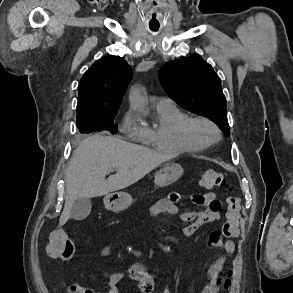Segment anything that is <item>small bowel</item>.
I'll list each match as a JSON object with an SVG mask.
<instances>
[{
  "mask_svg": "<svg viewBox=\"0 0 293 293\" xmlns=\"http://www.w3.org/2000/svg\"><path fill=\"white\" fill-rule=\"evenodd\" d=\"M182 196L178 192H172L167 198L158 200L150 207V216L158 221L164 222L165 216H176L188 225L183 229L186 238L192 237L201 226L220 218V202L214 192L196 193L192 195V201L198 206H204L201 211H181L178 203ZM210 246L219 247L226 253L232 254L235 251V242L228 238L223 239L222 233L218 230L210 232L208 237ZM110 246L104 245L98 250V256L104 258L110 254ZM225 256H220L208 269L209 281L204 286L202 293H216L217 279L225 263ZM136 282L141 293L155 292V274L145 265L139 262L131 264L127 272H116L109 278L104 290L84 289L77 284H70L68 293H121V284L125 278ZM158 293H172L169 287H164Z\"/></svg>",
  "mask_w": 293,
  "mask_h": 293,
  "instance_id": "c3829d8e",
  "label": "small bowel"
}]
</instances>
